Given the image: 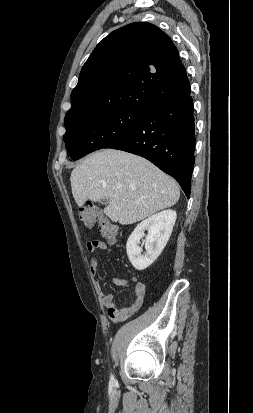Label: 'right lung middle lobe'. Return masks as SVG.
<instances>
[{"instance_id":"dd1d6c3e","label":"right lung middle lobe","mask_w":253,"mask_h":413,"mask_svg":"<svg viewBox=\"0 0 253 413\" xmlns=\"http://www.w3.org/2000/svg\"><path fill=\"white\" fill-rule=\"evenodd\" d=\"M143 114L141 110L115 109L65 124L64 142L68 155L78 160L86 154L106 148L133 130Z\"/></svg>"}]
</instances>
